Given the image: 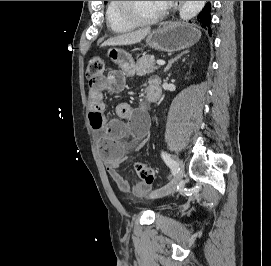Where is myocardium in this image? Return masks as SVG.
<instances>
[{
	"label": "myocardium",
	"mask_w": 271,
	"mask_h": 266,
	"mask_svg": "<svg viewBox=\"0 0 271 266\" xmlns=\"http://www.w3.org/2000/svg\"><path fill=\"white\" fill-rule=\"evenodd\" d=\"M130 4V1H119V11L121 16L134 26H146L154 24L161 20L166 12V6L162 5V9L156 15L147 19H142L132 11Z\"/></svg>",
	"instance_id": "1"
}]
</instances>
